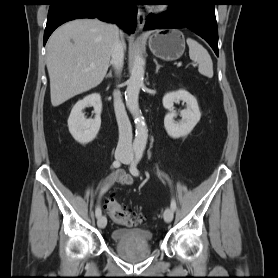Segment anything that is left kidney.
I'll return each instance as SVG.
<instances>
[{
	"label": "left kidney",
	"instance_id": "5707ae66",
	"mask_svg": "<svg viewBox=\"0 0 278 278\" xmlns=\"http://www.w3.org/2000/svg\"><path fill=\"white\" fill-rule=\"evenodd\" d=\"M186 102L187 108L180 112L181 121L175 122L177 113L173 110L174 103ZM163 106L169 112L164 118V127L167 134L172 138L187 136L201 118V113L196 98L186 90H178L166 93L163 97Z\"/></svg>",
	"mask_w": 278,
	"mask_h": 278
}]
</instances>
